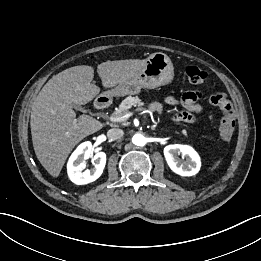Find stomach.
<instances>
[{
	"mask_svg": "<svg viewBox=\"0 0 261 261\" xmlns=\"http://www.w3.org/2000/svg\"><path fill=\"white\" fill-rule=\"evenodd\" d=\"M174 77L171 59L162 52L153 53L143 68L131 79L116 85L106 94L110 97L135 95L141 89H154L169 84Z\"/></svg>",
	"mask_w": 261,
	"mask_h": 261,
	"instance_id": "stomach-1",
	"label": "stomach"
}]
</instances>
